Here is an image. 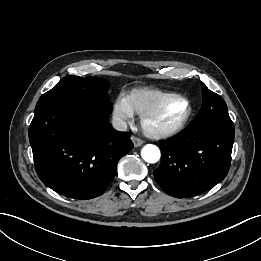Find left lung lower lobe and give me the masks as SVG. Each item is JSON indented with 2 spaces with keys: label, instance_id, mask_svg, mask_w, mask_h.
I'll return each mask as SVG.
<instances>
[{
  "label": "left lung lower lobe",
  "instance_id": "1",
  "mask_svg": "<svg viewBox=\"0 0 261 261\" xmlns=\"http://www.w3.org/2000/svg\"><path fill=\"white\" fill-rule=\"evenodd\" d=\"M233 122L187 127L160 141L161 164L154 178L169 195L185 198L207 191L222 181L231 163Z\"/></svg>",
  "mask_w": 261,
  "mask_h": 261
}]
</instances>
